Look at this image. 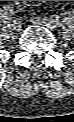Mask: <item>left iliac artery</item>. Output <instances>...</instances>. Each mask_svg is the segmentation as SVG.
Returning <instances> with one entry per match:
<instances>
[{
  "label": "left iliac artery",
  "instance_id": "left-iliac-artery-1",
  "mask_svg": "<svg viewBox=\"0 0 74 122\" xmlns=\"http://www.w3.org/2000/svg\"><path fill=\"white\" fill-rule=\"evenodd\" d=\"M51 21L52 22H54V23H56L57 25L59 24V22H60V19H59V17L58 16H56V15H53V16H51Z\"/></svg>",
  "mask_w": 74,
  "mask_h": 122
}]
</instances>
